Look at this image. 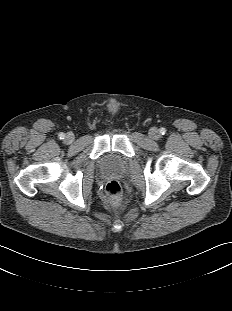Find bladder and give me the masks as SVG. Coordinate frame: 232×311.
<instances>
[{
    "instance_id": "31cf9c89",
    "label": "bladder",
    "mask_w": 232,
    "mask_h": 311,
    "mask_svg": "<svg viewBox=\"0 0 232 311\" xmlns=\"http://www.w3.org/2000/svg\"><path fill=\"white\" fill-rule=\"evenodd\" d=\"M125 162L116 156L106 157L102 161V168L110 174H119L123 171Z\"/></svg>"
}]
</instances>
